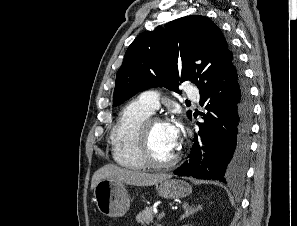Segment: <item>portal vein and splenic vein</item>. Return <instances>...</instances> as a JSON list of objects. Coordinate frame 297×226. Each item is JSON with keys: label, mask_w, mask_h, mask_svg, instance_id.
<instances>
[{"label": "portal vein and splenic vein", "mask_w": 297, "mask_h": 226, "mask_svg": "<svg viewBox=\"0 0 297 226\" xmlns=\"http://www.w3.org/2000/svg\"><path fill=\"white\" fill-rule=\"evenodd\" d=\"M163 217H165V213H164V212H162V213H160V214L158 215V219H162Z\"/></svg>", "instance_id": "portal-vein-and-splenic-vein-1"}]
</instances>
